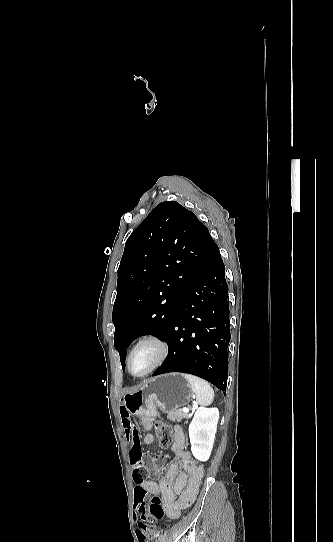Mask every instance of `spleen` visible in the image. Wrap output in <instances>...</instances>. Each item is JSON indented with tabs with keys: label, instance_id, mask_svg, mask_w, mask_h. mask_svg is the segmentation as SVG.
Segmentation results:
<instances>
[{
	"label": "spleen",
	"instance_id": "3e777b00",
	"mask_svg": "<svg viewBox=\"0 0 333 542\" xmlns=\"http://www.w3.org/2000/svg\"><path fill=\"white\" fill-rule=\"evenodd\" d=\"M185 380L190 384V388L196 396V402L199 406H210L214 400L213 388L207 384L205 380L191 376V374H183Z\"/></svg>",
	"mask_w": 333,
	"mask_h": 542
}]
</instances>
